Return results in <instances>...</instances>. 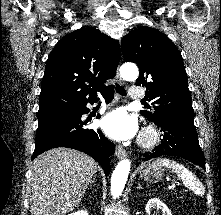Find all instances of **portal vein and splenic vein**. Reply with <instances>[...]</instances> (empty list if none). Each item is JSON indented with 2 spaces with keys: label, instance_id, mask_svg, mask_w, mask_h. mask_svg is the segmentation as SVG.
<instances>
[{
  "label": "portal vein and splenic vein",
  "instance_id": "1",
  "mask_svg": "<svg viewBox=\"0 0 221 215\" xmlns=\"http://www.w3.org/2000/svg\"><path fill=\"white\" fill-rule=\"evenodd\" d=\"M175 188V185L172 184L171 186H169V189H174Z\"/></svg>",
  "mask_w": 221,
  "mask_h": 215
}]
</instances>
